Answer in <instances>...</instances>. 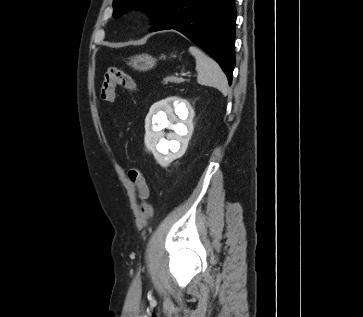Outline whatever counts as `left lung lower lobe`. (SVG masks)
<instances>
[{
	"mask_svg": "<svg viewBox=\"0 0 363 317\" xmlns=\"http://www.w3.org/2000/svg\"><path fill=\"white\" fill-rule=\"evenodd\" d=\"M235 21L234 0H167L149 31L181 32L220 64L231 84Z\"/></svg>",
	"mask_w": 363,
	"mask_h": 317,
	"instance_id": "left-lung-lower-lobe-1",
	"label": "left lung lower lobe"
}]
</instances>
